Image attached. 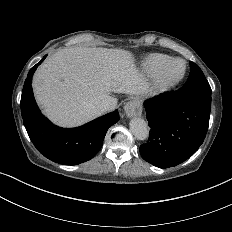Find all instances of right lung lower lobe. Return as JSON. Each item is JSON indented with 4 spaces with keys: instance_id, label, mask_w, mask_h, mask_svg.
Wrapping results in <instances>:
<instances>
[{
    "instance_id": "98d812e1",
    "label": "right lung lower lobe",
    "mask_w": 232,
    "mask_h": 232,
    "mask_svg": "<svg viewBox=\"0 0 232 232\" xmlns=\"http://www.w3.org/2000/svg\"><path fill=\"white\" fill-rule=\"evenodd\" d=\"M46 56L32 67L24 83L21 114L27 133L38 151L53 162L77 165L92 159L101 149L110 126L119 120L118 111L77 128H60L44 117L33 96L32 76Z\"/></svg>"
}]
</instances>
